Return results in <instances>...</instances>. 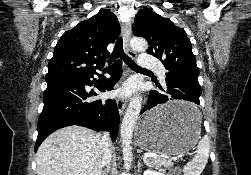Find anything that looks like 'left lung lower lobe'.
Returning a JSON list of instances; mask_svg holds the SVG:
<instances>
[{
	"label": "left lung lower lobe",
	"mask_w": 251,
	"mask_h": 175,
	"mask_svg": "<svg viewBox=\"0 0 251 175\" xmlns=\"http://www.w3.org/2000/svg\"><path fill=\"white\" fill-rule=\"evenodd\" d=\"M167 90L164 93L151 91L148 105L142 111L154 107L157 104H162L172 99H181L189 101L190 103L183 106L173 107L170 109L153 112L146 117V123L157 124L174 121H192L200 117L201 110L199 97L201 95V87L198 83V78L182 73H168L166 74Z\"/></svg>",
	"instance_id": "obj_1"
}]
</instances>
